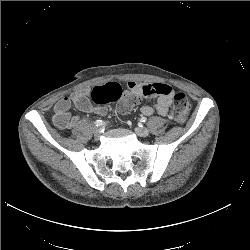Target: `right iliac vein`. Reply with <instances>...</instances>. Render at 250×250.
<instances>
[{
	"label": "right iliac vein",
	"instance_id": "1",
	"mask_svg": "<svg viewBox=\"0 0 250 250\" xmlns=\"http://www.w3.org/2000/svg\"><path fill=\"white\" fill-rule=\"evenodd\" d=\"M92 132H93V134H94V136H95L96 138L99 137V135H100V129H99L98 127H93V128H92Z\"/></svg>",
	"mask_w": 250,
	"mask_h": 250
}]
</instances>
